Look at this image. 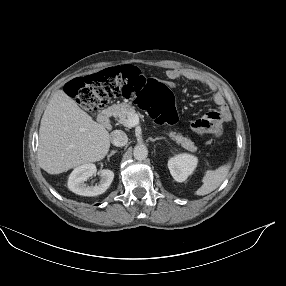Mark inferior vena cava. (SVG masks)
Returning <instances> with one entry per match:
<instances>
[{"instance_id":"1","label":"inferior vena cava","mask_w":286,"mask_h":286,"mask_svg":"<svg viewBox=\"0 0 286 286\" xmlns=\"http://www.w3.org/2000/svg\"><path fill=\"white\" fill-rule=\"evenodd\" d=\"M111 142L116 147H123L128 142L127 135L121 130H115L111 133Z\"/></svg>"}]
</instances>
